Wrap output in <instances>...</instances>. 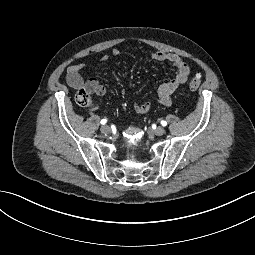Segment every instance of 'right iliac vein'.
<instances>
[{"instance_id": "obj_1", "label": "right iliac vein", "mask_w": 255, "mask_h": 255, "mask_svg": "<svg viewBox=\"0 0 255 255\" xmlns=\"http://www.w3.org/2000/svg\"><path fill=\"white\" fill-rule=\"evenodd\" d=\"M100 130L105 135H108L111 133V128L108 125L102 126Z\"/></svg>"}]
</instances>
